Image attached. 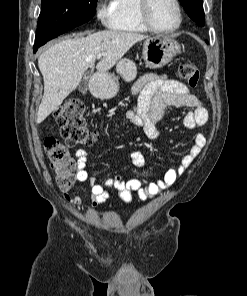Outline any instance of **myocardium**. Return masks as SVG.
<instances>
[{
    "instance_id": "1",
    "label": "myocardium",
    "mask_w": 247,
    "mask_h": 296,
    "mask_svg": "<svg viewBox=\"0 0 247 296\" xmlns=\"http://www.w3.org/2000/svg\"><path fill=\"white\" fill-rule=\"evenodd\" d=\"M139 16L143 24L148 28V30L158 33V34H170L178 30L182 24V8L181 4L178 0H172L173 4L175 5L176 12H177V22L176 24L170 29H160L157 28L150 17V6L151 0H139Z\"/></svg>"
}]
</instances>
